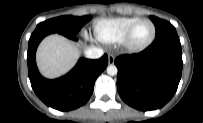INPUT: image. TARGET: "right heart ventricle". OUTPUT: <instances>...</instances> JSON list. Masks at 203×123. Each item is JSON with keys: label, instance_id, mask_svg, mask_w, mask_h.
I'll use <instances>...</instances> for the list:
<instances>
[{"label": "right heart ventricle", "instance_id": "1", "mask_svg": "<svg viewBox=\"0 0 203 123\" xmlns=\"http://www.w3.org/2000/svg\"><path fill=\"white\" fill-rule=\"evenodd\" d=\"M139 19L135 16L100 19L94 24L95 36L102 43H119L127 29Z\"/></svg>", "mask_w": 203, "mask_h": 123}]
</instances>
